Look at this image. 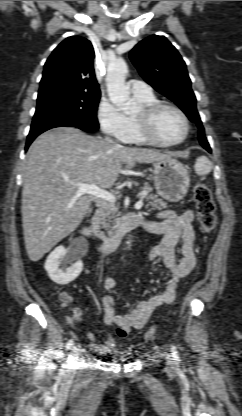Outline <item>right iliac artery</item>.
Returning <instances> with one entry per match:
<instances>
[{"mask_svg": "<svg viewBox=\"0 0 242 416\" xmlns=\"http://www.w3.org/2000/svg\"><path fill=\"white\" fill-rule=\"evenodd\" d=\"M73 344H74V340L73 339H69L68 342H67V344H66V346H65L66 347V350H70L72 348Z\"/></svg>", "mask_w": 242, "mask_h": 416, "instance_id": "82829eb1", "label": "right iliac artery"}]
</instances>
